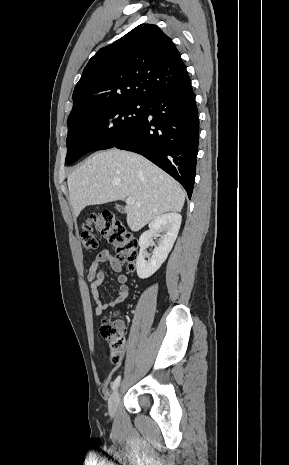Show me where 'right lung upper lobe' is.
Wrapping results in <instances>:
<instances>
[{"label":"right lung upper lobe","instance_id":"1","mask_svg":"<svg viewBox=\"0 0 289 465\" xmlns=\"http://www.w3.org/2000/svg\"><path fill=\"white\" fill-rule=\"evenodd\" d=\"M190 83L186 66L172 40L153 24H141L101 48L84 68L73 92L68 129L92 104L149 100Z\"/></svg>","mask_w":289,"mask_h":465}]
</instances>
